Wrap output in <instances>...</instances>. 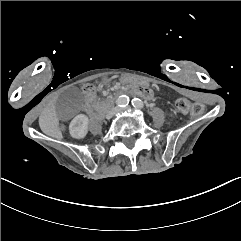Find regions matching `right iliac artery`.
Listing matches in <instances>:
<instances>
[{
    "instance_id": "obj_1",
    "label": "right iliac artery",
    "mask_w": 241,
    "mask_h": 241,
    "mask_svg": "<svg viewBox=\"0 0 241 241\" xmlns=\"http://www.w3.org/2000/svg\"><path fill=\"white\" fill-rule=\"evenodd\" d=\"M129 104V97L127 96H120L116 100V105L119 107H126Z\"/></svg>"
}]
</instances>
